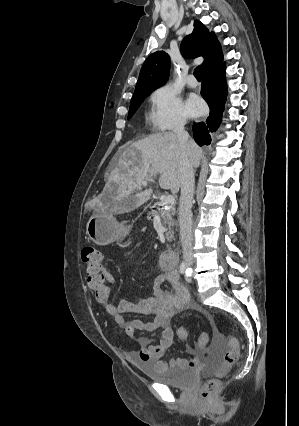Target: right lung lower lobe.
<instances>
[{
    "mask_svg": "<svg viewBox=\"0 0 299 426\" xmlns=\"http://www.w3.org/2000/svg\"><path fill=\"white\" fill-rule=\"evenodd\" d=\"M202 97L210 108V115L205 122L195 123L192 127L194 139L198 145H209L211 136L219 127L227 95L225 81V63L221 62L204 72Z\"/></svg>",
    "mask_w": 299,
    "mask_h": 426,
    "instance_id": "obj_1",
    "label": "right lung lower lobe"
}]
</instances>
